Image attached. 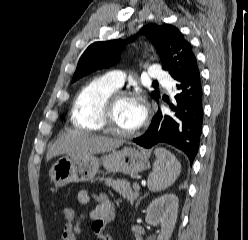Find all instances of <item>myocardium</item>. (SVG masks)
<instances>
[{
    "label": "myocardium",
    "instance_id": "1",
    "mask_svg": "<svg viewBox=\"0 0 248 240\" xmlns=\"http://www.w3.org/2000/svg\"><path fill=\"white\" fill-rule=\"evenodd\" d=\"M132 93L128 91H115L113 94L110 95V97L104 102L102 109L100 111L99 116V124L102 127L103 131L111 133L116 136L121 137H130L138 133L139 127H136L133 130L130 131H121L117 129L113 123L111 118V111L113 109V106L117 102V100L121 98H131Z\"/></svg>",
    "mask_w": 248,
    "mask_h": 240
}]
</instances>
